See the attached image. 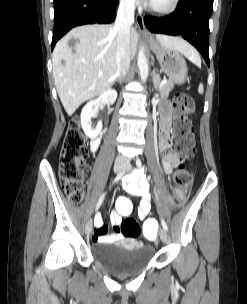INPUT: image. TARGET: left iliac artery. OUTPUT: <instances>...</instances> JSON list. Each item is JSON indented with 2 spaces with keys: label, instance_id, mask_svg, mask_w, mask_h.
Segmentation results:
<instances>
[{
  "label": "left iliac artery",
  "instance_id": "1",
  "mask_svg": "<svg viewBox=\"0 0 247 304\" xmlns=\"http://www.w3.org/2000/svg\"><path fill=\"white\" fill-rule=\"evenodd\" d=\"M136 165L138 167H141V161H140V159L136 160ZM161 224H162L163 228L167 231L168 230V226H167L166 222L163 219H161Z\"/></svg>",
  "mask_w": 247,
  "mask_h": 304
}]
</instances>
